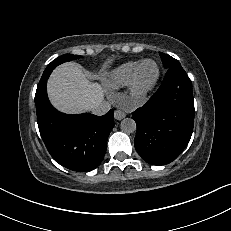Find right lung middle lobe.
Returning a JSON list of instances; mask_svg holds the SVG:
<instances>
[{"mask_svg":"<svg viewBox=\"0 0 231 231\" xmlns=\"http://www.w3.org/2000/svg\"><path fill=\"white\" fill-rule=\"evenodd\" d=\"M80 57L81 56H79V55L64 54V55L56 58L55 60H53L49 65H54L56 67V66L60 65L61 63L71 61L74 59H78Z\"/></svg>","mask_w":231,"mask_h":231,"instance_id":"1","label":"right lung middle lobe"}]
</instances>
